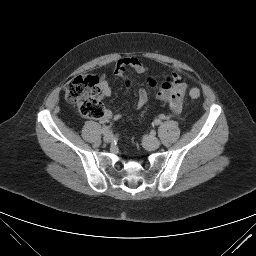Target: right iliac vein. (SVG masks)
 <instances>
[{
	"label": "right iliac vein",
	"mask_w": 256,
	"mask_h": 256,
	"mask_svg": "<svg viewBox=\"0 0 256 256\" xmlns=\"http://www.w3.org/2000/svg\"><path fill=\"white\" fill-rule=\"evenodd\" d=\"M114 139V136L111 132H108L107 134L104 135L103 137V140L106 142V143H111Z\"/></svg>",
	"instance_id": "obj_1"
}]
</instances>
